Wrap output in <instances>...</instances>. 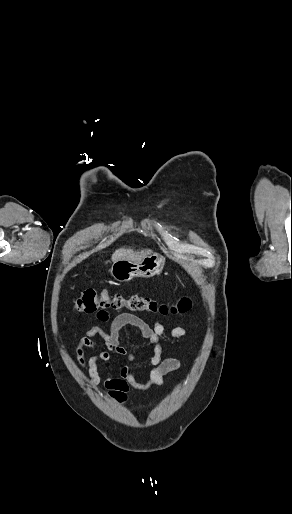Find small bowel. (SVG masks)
<instances>
[{"label": "small bowel", "mask_w": 292, "mask_h": 514, "mask_svg": "<svg viewBox=\"0 0 292 514\" xmlns=\"http://www.w3.org/2000/svg\"><path fill=\"white\" fill-rule=\"evenodd\" d=\"M95 318L101 323L110 322L109 330H105L99 325L90 327L84 336L79 339L76 346V355L80 366L88 374L90 385L92 387L103 385L109 397L122 402L125 400L126 393L130 389L146 391L153 386L164 385L166 376L181 368V361L179 359L173 357L162 358L161 340L184 338L188 335L186 328L176 326L167 329L162 320L150 324L141 317L131 313H121L112 319L110 313L104 309L98 310L95 313ZM126 327L138 329L142 337L153 348V356L149 359L152 368L146 381H139L127 366L121 367L119 377L103 379L100 375L99 364L104 362L109 366L111 352L126 356L130 361L136 359L134 354L121 344V331ZM96 337L102 339V344L95 341ZM86 349L100 350L86 359Z\"/></svg>", "instance_id": "c3829d8e"}]
</instances>
